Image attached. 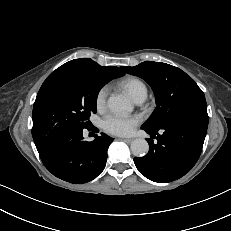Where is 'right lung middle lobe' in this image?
<instances>
[{"mask_svg":"<svg viewBox=\"0 0 231 231\" xmlns=\"http://www.w3.org/2000/svg\"><path fill=\"white\" fill-rule=\"evenodd\" d=\"M114 77L95 70L50 74L42 84L33 108L34 140H53L91 126L100 89Z\"/></svg>","mask_w":231,"mask_h":231,"instance_id":"obj_1","label":"right lung middle lobe"}]
</instances>
